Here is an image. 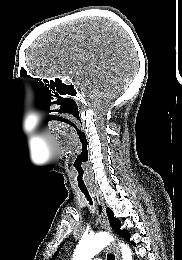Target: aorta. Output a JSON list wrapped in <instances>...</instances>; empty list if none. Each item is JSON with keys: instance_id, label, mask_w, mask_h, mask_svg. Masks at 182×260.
I'll use <instances>...</instances> for the list:
<instances>
[{"instance_id": "obj_1", "label": "aorta", "mask_w": 182, "mask_h": 260, "mask_svg": "<svg viewBox=\"0 0 182 260\" xmlns=\"http://www.w3.org/2000/svg\"><path fill=\"white\" fill-rule=\"evenodd\" d=\"M113 238L105 233L82 237L77 245L72 260H91L103 250ZM122 251V260H133L131 249L127 244L119 243Z\"/></svg>"}]
</instances>
